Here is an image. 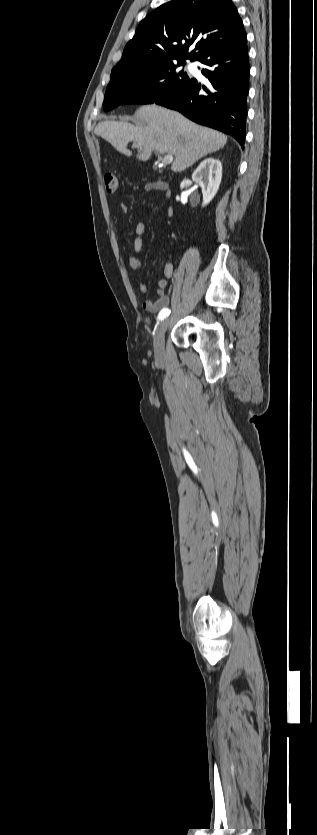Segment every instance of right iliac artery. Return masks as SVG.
<instances>
[{
    "label": "right iliac artery",
    "mask_w": 317,
    "mask_h": 835,
    "mask_svg": "<svg viewBox=\"0 0 317 835\" xmlns=\"http://www.w3.org/2000/svg\"><path fill=\"white\" fill-rule=\"evenodd\" d=\"M169 313H170V310L168 308H166V307L163 308L158 315L159 320H162L165 317H167L169 315Z\"/></svg>",
    "instance_id": "1"
}]
</instances>
